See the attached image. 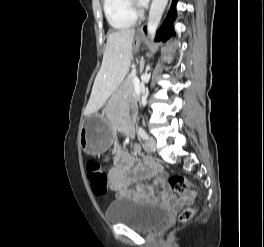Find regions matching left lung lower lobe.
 Listing matches in <instances>:
<instances>
[{
	"label": "left lung lower lobe",
	"mask_w": 264,
	"mask_h": 247,
	"mask_svg": "<svg viewBox=\"0 0 264 247\" xmlns=\"http://www.w3.org/2000/svg\"><path fill=\"white\" fill-rule=\"evenodd\" d=\"M177 0H172V6L168 13V16L160 28V30L157 32L156 41H166L170 38V36L174 35L175 32L173 30V20L175 17V6H176ZM144 31L146 32V27H144Z\"/></svg>",
	"instance_id": "obj_1"
}]
</instances>
